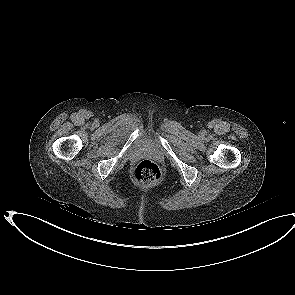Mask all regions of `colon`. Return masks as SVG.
I'll list each match as a JSON object with an SVG mask.
<instances>
[{
	"mask_svg": "<svg viewBox=\"0 0 295 295\" xmlns=\"http://www.w3.org/2000/svg\"><path fill=\"white\" fill-rule=\"evenodd\" d=\"M133 177L138 185L151 186L160 180L161 172L156 163L151 160H143L134 169Z\"/></svg>",
	"mask_w": 295,
	"mask_h": 295,
	"instance_id": "5ec220e1",
	"label": "colon"
}]
</instances>
